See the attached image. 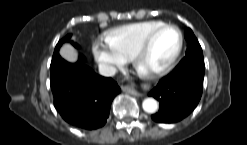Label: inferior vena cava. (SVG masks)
I'll use <instances>...</instances> for the list:
<instances>
[{
	"label": "inferior vena cava",
	"mask_w": 247,
	"mask_h": 145,
	"mask_svg": "<svg viewBox=\"0 0 247 145\" xmlns=\"http://www.w3.org/2000/svg\"><path fill=\"white\" fill-rule=\"evenodd\" d=\"M116 68L109 64H100L99 65V73L103 76L110 77L114 76L116 73Z\"/></svg>",
	"instance_id": "inferior-vena-cava-1"
}]
</instances>
